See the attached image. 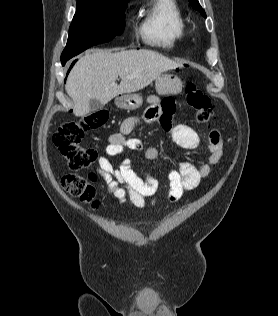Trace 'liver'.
Wrapping results in <instances>:
<instances>
[{"mask_svg":"<svg viewBox=\"0 0 278 316\" xmlns=\"http://www.w3.org/2000/svg\"><path fill=\"white\" fill-rule=\"evenodd\" d=\"M181 66L151 50L117 53L96 50L78 60L67 78L65 89L74 101L73 113L85 116L90 112L91 99L107 104L118 95L147 87L161 73ZM118 77L121 78L119 85L116 83Z\"/></svg>","mask_w":278,"mask_h":316,"instance_id":"liver-1","label":"liver"}]
</instances>
